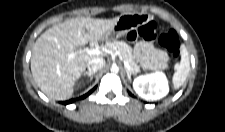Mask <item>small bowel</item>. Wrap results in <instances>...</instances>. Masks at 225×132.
<instances>
[{"label": "small bowel", "mask_w": 225, "mask_h": 132, "mask_svg": "<svg viewBox=\"0 0 225 132\" xmlns=\"http://www.w3.org/2000/svg\"><path fill=\"white\" fill-rule=\"evenodd\" d=\"M134 56L144 69H159L164 67L167 62L165 53L146 41L136 44Z\"/></svg>", "instance_id": "1"}]
</instances>
